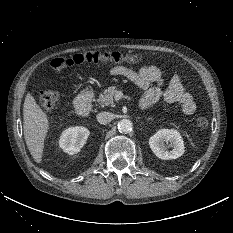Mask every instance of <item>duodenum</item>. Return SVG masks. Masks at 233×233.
<instances>
[{
    "mask_svg": "<svg viewBox=\"0 0 233 233\" xmlns=\"http://www.w3.org/2000/svg\"><path fill=\"white\" fill-rule=\"evenodd\" d=\"M94 94L91 90H85L79 93L74 101V111L78 116H87L93 104Z\"/></svg>",
    "mask_w": 233,
    "mask_h": 233,
    "instance_id": "duodenum-1",
    "label": "duodenum"
}]
</instances>
